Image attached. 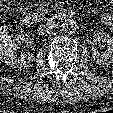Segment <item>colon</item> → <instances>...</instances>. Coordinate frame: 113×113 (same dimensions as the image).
Wrapping results in <instances>:
<instances>
[{
	"label": "colon",
	"instance_id": "colon-1",
	"mask_svg": "<svg viewBox=\"0 0 113 113\" xmlns=\"http://www.w3.org/2000/svg\"><path fill=\"white\" fill-rule=\"evenodd\" d=\"M9 41H10L9 30L5 26L0 24V56L4 49L8 46Z\"/></svg>",
	"mask_w": 113,
	"mask_h": 113
}]
</instances>
